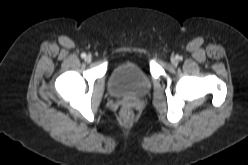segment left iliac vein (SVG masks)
Returning a JSON list of instances; mask_svg holds the SVG:
<instances>
[{
    "label": "left iliac vein",
    "instance_id": "left-iliac-vein-1",
    "mask_svg": "<svg viewBox=\"0 0 248 165\" xmlns=\"http://www.w3.org/2000/svg\"><path fill=\"white\" fill-rule=\"evenodd\" d=\"M172 62L175 63L176 62L175 59H173Z\"/></svg>",
    "mask_w": 248,
    "mask_h": 165
}]
</instances>
